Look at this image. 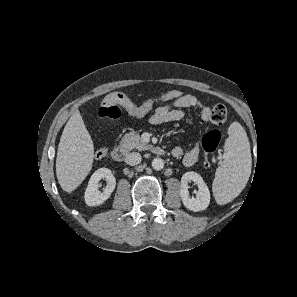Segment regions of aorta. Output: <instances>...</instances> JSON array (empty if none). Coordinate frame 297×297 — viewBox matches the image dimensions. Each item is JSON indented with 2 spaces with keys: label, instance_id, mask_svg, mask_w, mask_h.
<instances>
[{
  "label": "aorta",
  "instance_id": "1",
  "mask_svg": "<svg viewBox=\"0 0 297 297\" xmlns=\"http://www.w3.org/2000/svg\"><path fill=\"white\" fill-rule=\"evenodd\" d=\"M152 167L154 170H157V171L162 170L164 168V161L159 157L154 158L152 160Z\"/></svg>",
  "mask_w": 297,
  "mask_h": 297
}]
</instances>
